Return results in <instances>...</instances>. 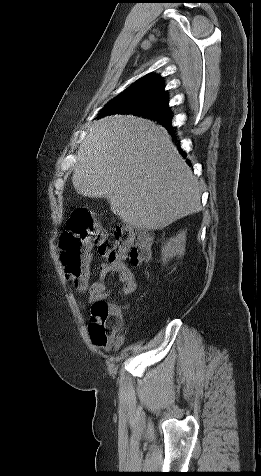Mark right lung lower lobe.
<instances>
[{"mask_svg": "<svg viewBox=\"0 0 261 476\" xmlns=\"http://www.w3.org/2000/svg\"><path fill=\"white\" fill-rule=\"evenodd\" d=\"M162 125L172 134V136H174V129H173L171 123H169V124H162ZM179 149H180V147H179ZM180 151L182 152L181 149H180ZM183 156L185 157L184 154H183Z\"/></svg>", "mask_w": 261, "mask_h": 476, "instance_id": "98d812e1", "label": "right lung lower lobe"}]
</instances>
